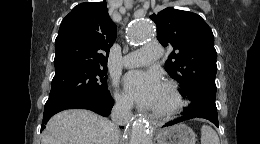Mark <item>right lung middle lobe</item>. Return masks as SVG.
Listing matches in <instances>:
<instances>
[{"instance_id": "1", "label": "right lung middle lobe", "mask_w": 260, "mask_h": 144, "mask_svg": "<svg viewBox=\"0 0 260 144\" xmlns=\"http://www.w3.org/2000/svg\"><path fill=\"white\" fill-rule=\"evenodd\" d=\"M46 104L61 101H88L110 95L107 66L70 64L55 68Z\"/></svg>"}]
</instances>
